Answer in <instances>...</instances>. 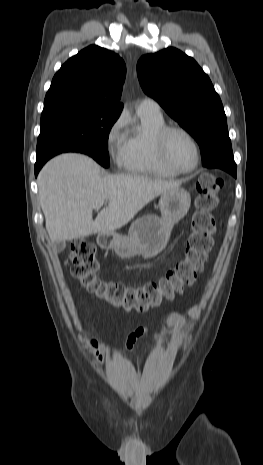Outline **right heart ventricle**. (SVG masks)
Here are the masks:
<instances>
[{
	"label": "right heart ventricle",
	"instance_id": "e07e8e85",
	"mask_svg": "<svg viewBox=\"0 0 263 465\" xmlns=\"http://www.w3.org/2000/svg\"><path fill=\"white\" fill-rule=\"evenodd\" d=\"M139 124L126 135L124 168L132 174L172 177L159 161L155 147L156 134L166 126L163 116L138 112Z\"/></svg>",
	"mask_w": 263,
	"mask_h": 465
}]
</instances>
